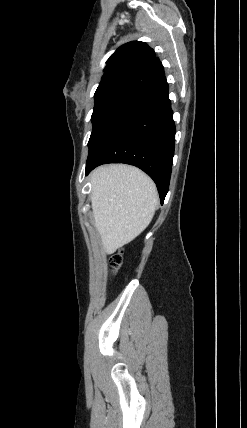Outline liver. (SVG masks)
<instances>
[{"label": "liver", "instance_id": "6515ba94", "mask_svg": "<svg viewBox=\"0 0 247 428\" xmlns=\"http://www.w3.org/2000/svg\"><path fill=\"white\" fill-rule=\"evenodd\" d=\"M95 227L107 254L135 239L151 222L158 192L152 179L136 167L112 164L91 176Z\"/></svg>", "mask_w": 247, "mask_h": 428}]
</instances>
